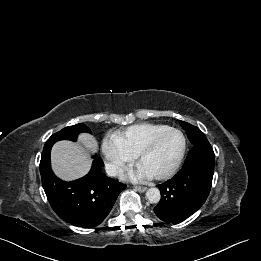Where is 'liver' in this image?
<instances>
[{"label": "liver", "mask_w": 261, "mask_h": 261, "mask_svg": "<svg viewBox=\"0 0 261 261\" xmlns=\"http://www.w3.org/2000/svg\"><path fill=\"white\" fill-rule=\"evenodd\" d=\"M83 147L71 141L62 140L51 149L52 169L55 174L66 181L75 180L86 175L91 167L89 153L98 149L96 139L87 133L79 135Z\"/></svg>", "instance_id": "liver-1"}]
</instances>
